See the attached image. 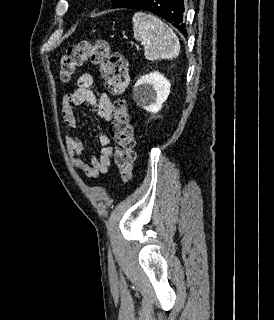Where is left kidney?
I'll list each match as a JSON object with an SVG mask.
<instances>
[{
	"instance_id": "left-kidney-1",
	"label": "left kidney",
	"mask_w": 274,
	"mask_h": 320,
	"mask_svg": "<svg viewBox=\"0 0 274 320\" xmlns=\"http://www.w3.org/2000/svg\"><path fill=\"white\" fill-rule=\"evenodd\" d=\"M170 88L171 84L163 74L152 72V74L141 76L140 80H137L133 90V98L137 106H142L147 112L157 114L167 100Z\"/></svg>"
}]
</instances>
